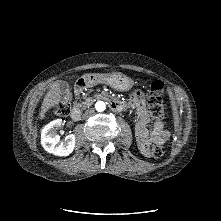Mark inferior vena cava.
Returning a JSON list of instances; mask_svg holds the SVG:
<instances>
[{
    "instance_id": "1",
    "label": "inferior vena cava",
    "mask_w": 221,
    "mask_h": 221,
    "mask_svg": "<svg viewBox=\"0 0 221 221\" xmlns=\"http://www.w3.org/2000/svg\"><path fill=\"white\" fill-rule=\"evenodd\" d=\"M94 114V109H87L86 111H85V113L83 114V117L84 118H88V117H90V116H92Z\"/></svg>"
}]
</instances>
